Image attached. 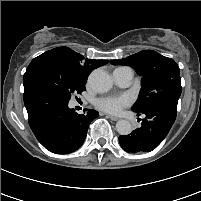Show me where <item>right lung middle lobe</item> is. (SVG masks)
Returning a JSON list of instances; mask_svg holds the SVG:
<instances>
[{"label":"right lung middle lobe","mask_w":201,"mask_h":201,"mask_svg":"<svg viewBox=\"0 0 201 201\" xmlns=\"http://www.w3.org/2000/svg\"><path fill=\"white\" fill-rule=\"evenodd\" d=\"M25 87H38L49 90L70 100L73 93L81 94L86 82L77 79L55 58L40 60L27 68L23 77Z\"/></svg>","instance_id":"obj_1"}]
</instances>
